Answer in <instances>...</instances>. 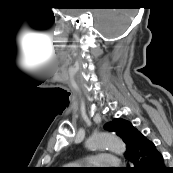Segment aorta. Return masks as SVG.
I'll list each match as a JSON object with an SVG mask.
<instances>
[{"instance_id": "aorta-1", "label": "aorta", "mask_w": 173, "mask_h": 173, "mask_svg": "<svg viewBox=\"0 0 173 173\" xmlns=\"http://www.w3.org/2000/svg\"><path fill=\"white\" fill-rule=\"evenodd\" d=\"M88 149L92 151L109 149L117 155H123L126 145L121 138L108 132H98L93 134L87 141Z\"/></svg>"}]
</instances>
